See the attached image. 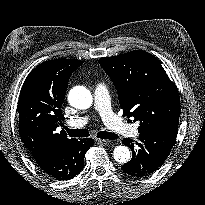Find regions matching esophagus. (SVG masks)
<instances>
[{
  "label": "esophagus",
  "mask_w": 205,
  "mask_h": 205,
  "mask_svg": "<svg viewBox=\"0 0 205 205\" xmlns=\"http://www.w3.org/2000/svg\"><path fill=\"white\" fill-rule=\"evenodd\" d=\"M96 141L100 144L107 145L110 143V140H105V139H96Z\"/></svg>",
  "instance_id": "obj_1"
}]
</instances>
